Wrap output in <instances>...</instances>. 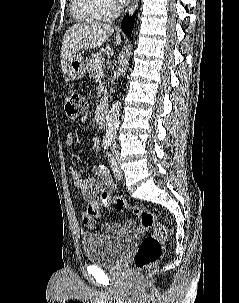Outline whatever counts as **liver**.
<instances>
[{
	"instance_id": "1",
	"label": "liver",
	"mask_w": 239,
	"mask_h": 303,
	"mask_svg": "<svg viewBox=\"0 0 239 303\" xmlns=\"http://www.w3.org/2000/svg\"><path fill=\"white\" fill-rule=\"evenodd\" d=\"M114 33V29L105 23L86 22L73 25L64 34L61 47V65L64 69L69 57L79 50L95 49L102 46ZM121 43L120 34L116 35V46Z\"/></svg>"
}]
</instances>
